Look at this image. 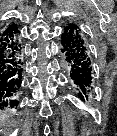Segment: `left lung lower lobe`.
<instances>
[{
  "label": "left lung lower lobe",
  "mask_w": 117,
  "mask_h": 136,
  "mask_svg": "<svg viewBox=\"0 0 117 136\" xmlns=\"http://www.w3.org/2000/svg\"><path fill=\"white\" fill-rule=\"evenodd\" d=\"M63 68L72 80L82 101L91 93L94 75L93 57L86 34L76 25L64 26L61 34Z\"/></svg>",
  "instance_id": "0a47b994"
}]
</instances>
